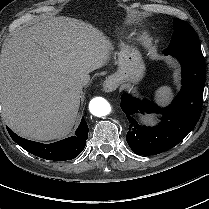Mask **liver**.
<instances>
[{"label":"liver","mask_w":209,"mask_h":209,"mask_svg":"<svg viewBox=\"0 0 209 209\" xmlns=\"http://www.w3.org/2000/svg\"><path fill=\"white\" fill-rule=\"evenodd\" d=\"M104 34L81 20L53 17L19 28L0 54V104L5 122L38 141L71 132L80 106L75 83L107 64Z\"/></svg>","instance_id":"obj_1"}]
</instances>
